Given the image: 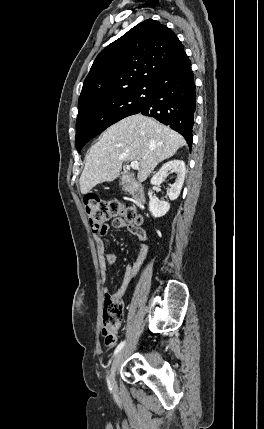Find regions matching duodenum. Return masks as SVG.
<instances>
[{
  "label": "duodenum",
  "mask_w": 264,
  "mask_h": 429,
  "mask_svg": "<svg viewBox=\"0 0 264 429\" xmlns=\"http://www.w3.org/2000/svg\"><path fill=\"white\" fill-rule=\"evenodd\" d=\"M123 180L127 183L129 191L134 198L136 204L142 207L145 203V194L143 188L129 177H124Z\"/></svg>",
  "instance_id": "410a0bca"
}]
</instances>
